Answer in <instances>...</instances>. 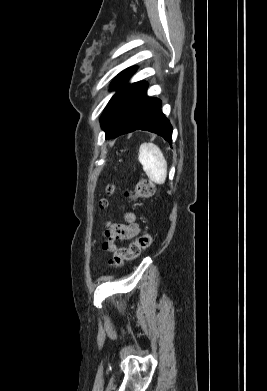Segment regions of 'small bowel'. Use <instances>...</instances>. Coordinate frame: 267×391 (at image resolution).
Instances as JSON below:
<instances>
[{
	"mask_svg": "<svg viewBox=\"0 0 267 391\" xmlns=\"http://www.w3.org/2000/svg\"><path fill=\"white\" fill-rule=\"evenodd\" d=\"M139 231L140 225L136 223L134 215L127 214L125 224L107 223L102 247L105 251L114 252L118 242L131 240Z\"/></svg>",
	"mask_w": 267,
	"mask_h": 391,
	"instance_id": "obj_1",
	"label": "small bowel"
}]
</instances>
